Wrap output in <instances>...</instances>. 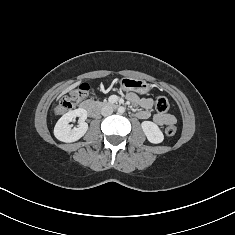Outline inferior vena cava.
<instances>
[{
  "mask_svg": "<svg viewBox=\"0 0 235 235\" xmlns=\"http://www.w3.org/2000/svg\"><path fill=\"white\" fill-rule=\"evenodd\" d=\"M112 113H113V108H112V106H110V105H105V106H103L102 109H101V114H102L103 116H109V115H111Z\"/></svg>",
  "mask_w": 235,
  "mask_h": 235,
  "instance_id": "602c4592",
  "label": "inferior vena cava"
}]
</instances>
